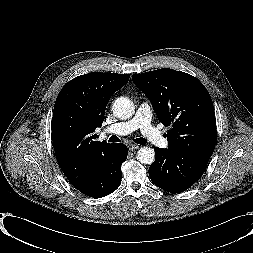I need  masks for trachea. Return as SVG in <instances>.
I'll use <instances>...</instances> for the list:
<instances>
[{"mask_svg": "<svg viewBox=\"0 0 253 253\" xmlns=\"http://www.w3.org/2000/svg\"><path fill=\"white\" fill-rule=\"evenodd\" d=\"M109 142H120V139L115 136V135H112L110 138H109ZM134 142L137 143V144H140V145H144L147 141L145 138L143 137H140V138H136L134 139Z\"/></svg>", "mask_w": 253, "mask_h": 253, "instance_id": "obj_1", "label": "trachea"}]
</instances>
